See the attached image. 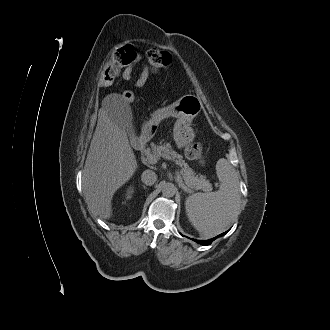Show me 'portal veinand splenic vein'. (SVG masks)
Returning <instances> with one entry per match:
<instances>
[{
  "label": "portal vein and splenic vein",
  "instance_id": "obj_1",
  "mask_svg": "<svg viewBox=\"0 0 330 330\" xmlns=\"http://www.w3.org/2000/svg\"><path fill=\"white\" fill-rule=\"evenodd\" d=\"M147 160H148V163L149 164H155V163H157V161H158V157L157 156H155V155H153V154H149L148 156H147ZM181 177L179 176V174L177 175V181H180L181 182ZM183 187V189H184V191L185 192H187V193H192V190L191 189H189V188H187L186 186H182Z\"/></svg>",
  "mask_w": 330,
  "mask_h": 330
}]
</instances>
